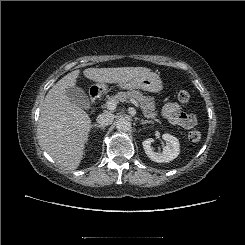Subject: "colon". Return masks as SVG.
<instances>
[{
	"instance_id": "1",
	"label": "colon",
	"mask_w": 245,
	"mask_h": 245,
	"mask_svg": "<svg viewBox=\"0 0 245 245\" xmlns=\"http://www.w3.org/2000/svg\"><path fill=\"white\" fill-rule=\"evenodd\" d=\"M191 98V94L188 90L186 89H181L179 92H178V100L182 103V104H186L189 102ZM202 135H201V132L199 130H191L188 134V138L190 141L192 142H198L200 141Z\"/></svg>"
}]
</instances>
